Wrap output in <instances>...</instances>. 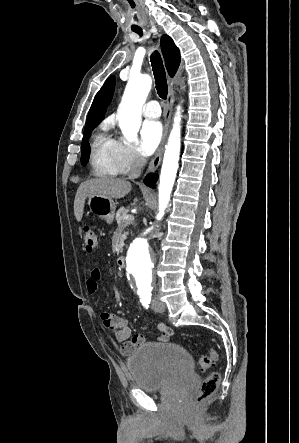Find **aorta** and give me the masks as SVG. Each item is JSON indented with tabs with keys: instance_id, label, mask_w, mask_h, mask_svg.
<instances>
[{
	"instance_id": "obj_1",
	"label": "aorta",
	"mask_w": 299,
	"mask_h": 443,
	"mask_svg": "<svg viewBox=\"0 0 299 443\" xmlns=\"http://www.w3.org/2000/svg\"><path fill=\"white\" fill-rule=\"evenodd\" d=\"M151 86L152 79L148 75L130 77L127 83L117 117L121 132L129 142L137 139L141 124V109L146 101ZM180 121L181 115L179 107L165 149L161 168L160 182L158 186V220L163 217L165 209L169 204L170 195L179 166L178 162L181 148ZM156 231V225H151L145 228L132 242L126 259L127 271L134 277L136 293L142 300H147L151 297L154 257L149 249L148 239Z\"/></svg>"
}]
</instances>
